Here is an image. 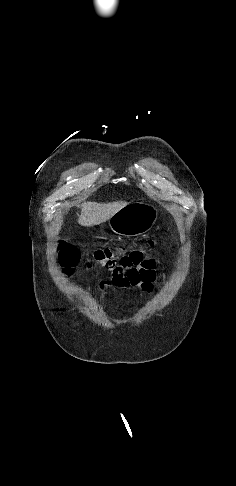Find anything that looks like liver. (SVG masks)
Here are the masks:
<instances>
[{
    "label": "liver",
    "instance_id": "obj_1",
    "mask_svg": "<svg viewBox=\"0 0 236 486\" xmlns=\"http://www.w3.org/2000/svg\"><path fill=\"white\" fill-rule=\"evenodd\" d=\"M126 205L127 203L123 201L112 203L84 202L81 204V214L78 217V223L85 227L101 224L109 220Z\"/></svg>",
    "mask_w": 236,
    "mask_h": 486
}]
</instances>
